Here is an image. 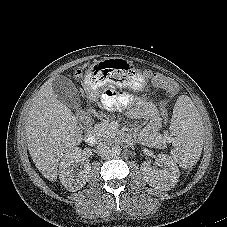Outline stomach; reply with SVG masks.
Segmentation results:
<instances>
[{
    "mask_svg": "<svg viewBox=\"0 0 227 227\" xmlns=\"http://www.w3.org/2000/svg\"><path fill=\"white\" fill-rule=\"evenodd\" d=\"M84 78L91 94L96 92L95 87H105L111 82L133 90H140L147 83L146 73L126 56H103L91 61L84 71Z\"/></svg>",
    "mask_w": 227,
    "mask_h": 227,
    "instance_id": "0dacf381",
    "label": "stomach"
}]
</instances>
